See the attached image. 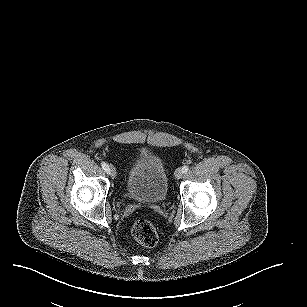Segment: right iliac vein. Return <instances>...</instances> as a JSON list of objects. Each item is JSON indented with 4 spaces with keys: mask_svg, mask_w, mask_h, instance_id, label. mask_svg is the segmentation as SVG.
Returning a JSON list of instances; mask_svg holds the SVG:
<instances>
[{
    "mask_svg": "<svg viewBox=\"0 0 307 307\" xmlns=\"http://www.w3.org/2000/svg\"><path fill=\"white\" fill-rule=\"evenodd\" d=\"M107 173L110 176H112L113 178H115L116 177V168L113 165H109Z\"/></svg>",
    "mask_w": 307,
    "mask_h": 307,
    "instance_id": "right-iliac-vein-1",
    "label": "right iliac vein"
}]
</instances>
